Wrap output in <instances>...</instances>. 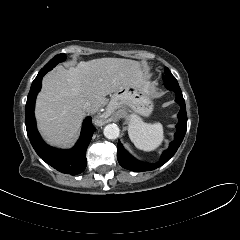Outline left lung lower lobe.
Returning a JSON list of instances; mask_svg holds the SVG:
<instances>
[{
    "instance_id": "obj_1",
    "label": "left lung lower lobe",
    "mask_w": 240,
    "mask_h": 240,
    "mask_svg": "<svg viewBox=\"0 0 240 240\" xmlns=\"http://www.w3.org/2000/svg\"><path fill=\"white\" fill-rule=\"evenodd\" d=\"M165 86L176 93L175 101L181 106L180 112L178 114L179 123L177 124V132L175 133V140L170 143L169 148L162 154L161 159L158 163L148 164L143 163L135 158H133L122 146L120 142L117 145V159L119 164L128 170L140 172V171H150L162 166L166 163L177 151L180 146L187 128V115L185 101L182 96L181 89L178 82H168L165 81Z\"/></svg>"
}]
</instances>
